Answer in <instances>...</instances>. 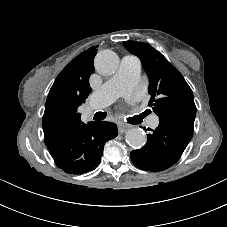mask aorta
Wrapping results in <instances>:
<instances>
[{
	"label": "aorta",
	"instance_id": "762f6f07",
	"mask_svg": "<svg viewBox=\"0 0 227 227\" xmlns=\"http://www.w3.org/2000/svg\"><path fill=\"white\" fill-rule=\"evenodd\" d=\"M95 69L101 75H112L118 68L119 59L111 50L100 51L95 57ZM147 137L141 128H132L126 133V142L134 149L145 145Z\"/></svg>",
	"mask_w": 227,
	"mask_h": 227
}]
</instances>
